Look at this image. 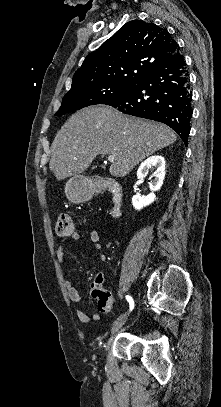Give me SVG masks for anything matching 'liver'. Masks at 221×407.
<instances>
[{"label":"liver","mask_w":221,"mask_h":407,"mask_svg":"<svg viewBox=\"0 0 221 407\" xmlns=\"http://www.w3.org/2000/svg\"><path fill=\"white\" fill-rule=\"evenodd\" d=\"M176 139L165 124L129 117L109 106H90L73 114L58 131L49 168L60 181L83 173L99 154L113 155L109 172L124 177Z\"/></svg>","instance_id":"6515ba94"}]
</instances>
